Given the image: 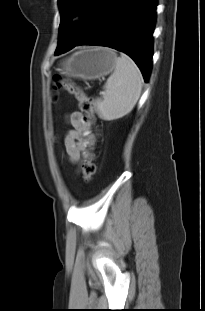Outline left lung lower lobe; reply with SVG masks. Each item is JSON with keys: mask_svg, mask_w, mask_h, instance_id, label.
I'll list each match as a JSON object with an SVG mask.
<instances>
[{"mask_svg": "<svg viewBox=\"0 0 205 311\" xmlns=\"http://www.w3.org/2000/svg\"><path fill=\"white\" fill-rule=\"evenodd\" d=\"M156 6L157 0H115L103 20L75 46L99 45L122 51L136 62L147 82L152 68Z\"/></svg>", "mask_w": 205, "mask_h": 311, "instance_id": "left-lung-lower-lobe-1", "label": "left lung lower lobe"}]
</instances>
